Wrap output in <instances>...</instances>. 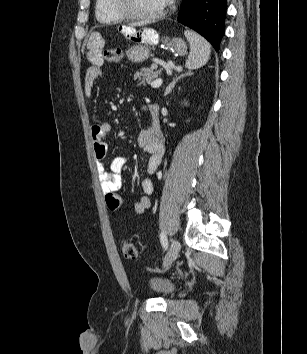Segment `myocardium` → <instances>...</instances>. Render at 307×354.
Masks as SVG:
<instances>
[{
  "mask_svg": "<svg viewBox=\"0 0 307 354\" xmlns=\"http://www.w3.org/2000/svg\"><path fill=\"white\" fill-rule=\"evenodd\" d=\"M112 4L119 15L129 20L153 21L161 18L166 11V3L159 11L152 14H141L133 11L129 0H112Z\"/></svg>",
  "mask_w": 307,
  "mask_h": 354,
  "instance_id": "myocardium-1",
  "label": "myocardium"
}]
</instances>
